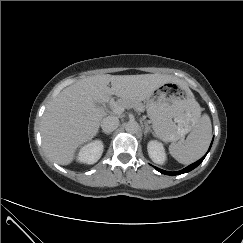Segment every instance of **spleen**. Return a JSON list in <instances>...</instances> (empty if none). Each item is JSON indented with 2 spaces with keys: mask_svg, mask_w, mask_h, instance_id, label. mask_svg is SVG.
I'll return each instance as SVG.
<instances>
[{
  "mask_svg": "<svg viewBox=\"0 0 243 243\" xmlns=\"http://www.w3.org/2000/svg\"><path fill=\"white\" fill-rule=\"evenodd\" d=\"M198 118L195 126L185 140L171 143L169 152L179 163L191 164L200 159L207 151L212 138V125L207 114L201 117L197 103Z\"/></svg>",
  "mask_w": 243,
  "mask_h": 243,
  "instance_id": "spleen-1",
  "label": "spleen"
}]
</instances>
